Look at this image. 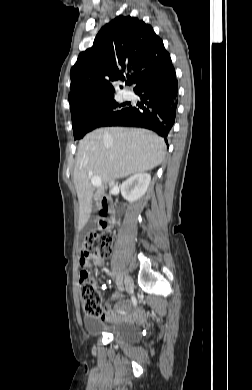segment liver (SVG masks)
Masks as SVG:
<instances>
[{
  "mask_svg": "<svg viewBox=\"0 0 252 390\" xmlns=\"http://www.w3.org/2000/svg\"><path fill=\"white\" fill-rule=\"evenodd\" d=\"M165 150L163 138L145 129L112 127L88 133L79 142L73 174L80 205L79 229L90 218L92 198L104 195L111 178L152 170L164 160ZM89 172L102 181L95 194Z\"/></svg>",
  "mask_w": 252,
  "mask_h": 390,
  "instance_id": "6515ba94",
  "label": "liver"
}]
</instances>
